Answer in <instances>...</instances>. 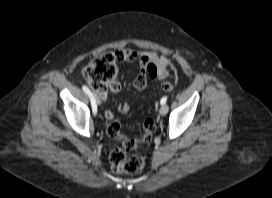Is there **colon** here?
<instances>
[{
	"mask_svg": "<svg viewBox=\"0 0 272 198\" xmlns=\"http://www.w3.org/2000/svg\"><path fill=\"white\" fill-rule=\"evenodd\" d=\"M121 60L122 56L117 51L105 52L97 56L84 71L86 81L98 93L110 92L117 72L116 64ZM156 74L155 65L147 64L142 74L136 78L135 85L138 88H143L146 85L147 78H152ZM162 88L169 92L173 85L170 82H164ZM155 130L154 120L147 119L143 124L140 137L130 138L120 134L118 120L112 121L107 128L108 135L114 140V146L109 156L112 171L121 174H135L141 171L145 165V158L137 152V149L142 143L149 142L153 138ZM128 151L131 153H128Z\"/></svg>",
	"mask_w": 272,
	"mask_h": 198,
	"instance_id": "5ec220e1",
	"label": "colon"
}]
</instances>
